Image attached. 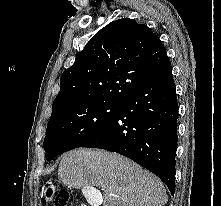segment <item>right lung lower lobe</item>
<instances>
[{
	"mask_svg": "<svg viewBox=\"0 0 221 206\" xmlns=\"http://www.w3.org/2000/svg\"><path fill=\"white\" fill-rule=\"evenodd\" d=\"M178 102L169 65L120 105L116 117L81 147L122 154L175 191Z\"/></svg>",
	"mask_w": 221,
	"mask_h": 206,
	"instance_id": "right-lung-lower-lobe-1",
	"label": "right lung lower lobe"
}]
</instances>
